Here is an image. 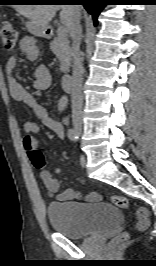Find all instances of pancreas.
Returning a JSON list of instances; mask_svg holds the SVG:
<instances>
[{
  "instance_id": "obj_1",
  "label": "pancreas",
  "mask_w": 156,
  "mask_h": 266,
  "mask_svg": "<svg viewBox=\"0 0 156 266\" xmlns=\"http://www.w3.org/2000/svg\"><path fill=\"white\" fill-rule=\"evenodd\" d=\"M50 49L60 61V71L67 73L71 66L72 50L66 37L57 36L50 42Z\"/></svg>"
}]
</instances>
